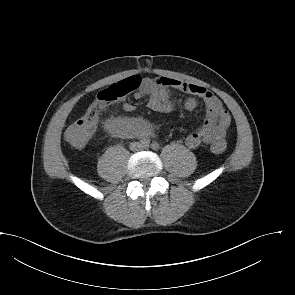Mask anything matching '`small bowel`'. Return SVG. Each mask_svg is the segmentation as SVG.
I'll return each instance as SVG.
<instances>
[{"label": "small bowel", "mask_w": 295, "mask_h": 295, "mask_svg": "<svg viewBox=\"0 0 295 295\" xmlns=\"http://www.w3.org/2000/svg\"><path fill=\"white\" fill-rule=\"evenodd\" d=\"M171 90L188 95L184 102L171 96ZM148 96V107L152 111L168 113L177 107L194 110L200 102L204 103L206 117L203 124L187 135L185 143L189 148H197L202 144L213 145L218 141L225 142V136L231 123V116L221 100L205 87L187 83L175 78L156 77L142 79L141 87L134 94L136 99ZM127 112L135 107L129 102L123 104ZM109 130L119 137L131 138L147 135L151 132L148 123L139 117H120L108 120Z\"/></svg>", "instance_id": "1"}]
</instances>
